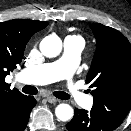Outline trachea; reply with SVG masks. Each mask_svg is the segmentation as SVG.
Here are the masks:
<instances>
[{"label": "trachea", "mask_w": 131, "mask_h": 131, "mask_svg": "<svg viewBox=\"0 0 131 131\" xmlns=\"http://www.w3.org/2000/svg\"><path fill=\"white\" fill-rule=\"evenodd\" d=\"M22 91L26 94H31V95H36L38 93V90L34 86H31V85H25L22 88ZM53 95L62 100H68L70 98V96L67 93L62 92V91H56L53 93Z\"/></svg>", "instance_id": "1"}]
</instances>
